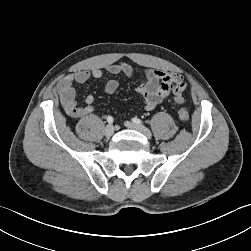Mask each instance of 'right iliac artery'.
<instances>
[{"label":"right iliac artery","instance_id":"obj_1","mask_svg":"<svg viewBox=\"0 0 251 251\" xmlns=\"http://www.w3.org/2000/svg\"><path fill=\"white\" fill-rule=\"evenodd\" d=\"M113 121H114V119H113L112 116H108V117H107V122H108L109 124H112Z\"/></svg>","mask_w":251,"mask_h":251}]
</instances>
